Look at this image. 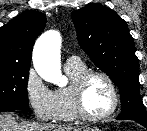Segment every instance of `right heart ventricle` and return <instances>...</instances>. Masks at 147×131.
I'll list each match as a JSON object with an SVG mask.
<instances>
[{"instance_id": "right-heart-ventricle-1", "label": "right heart ventricle", "mask_w": 147, "mask_h": 131, "mask_svg": "<svg viewBox=\"0 0 147 131\" xmlns=\"http://www.w3.org/2000/svg\"><path fill=\"white\" fill-rule=\"evenodd\" d=\"M64 69L70 79V83L54 91L59 107L56 120L59 122H72L78 119L73 103L72 84L87 68L81 63L79 65H65Z\"/></svg>"}]
</instances>
